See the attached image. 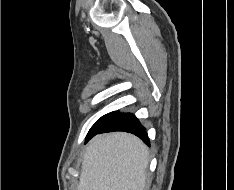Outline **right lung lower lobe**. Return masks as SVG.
<instances>
[{
	"label": "right lung lower lobe",
	"mask_w": 234,
	"mask_h": 190,
	"mask_svg": "<svg viewBox=\"0 0 234 190\" xmlns=\"http://www.w3.org/2000/svg\"><path fill=\"white\" fill-rule=\"evenodd\" d=\"M125 131L135 134L144 143L150 145L147 132L140 124L139 120L131 113L112 112L107 121L98 129L89 132L86 142L94 135L104 132Z\"/></svg>",
	"instance_id": "1"
}]
</instances>
